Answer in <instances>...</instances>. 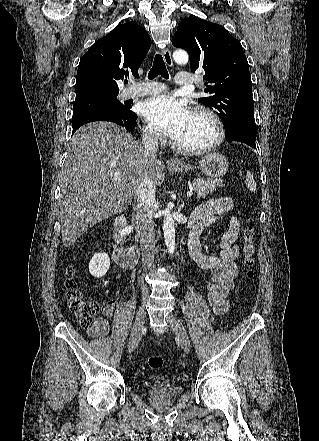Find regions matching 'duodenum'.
Here are the masks:
<instances>
[{"label":"duodenum","mask_w":319,"mask_h":441,"mask_svg":"<svg viewBox=\"0 0 319 441\" xmlns=\"http://www.w3.org/2000/svg\"><path fill=\"white\" fill-rule=\"evenodd\" d=\"M126 227V218L120 215L116 218L114 224V261L124 268H133L136 266L139 258V251L134 247H128L124 244L122 231Z\"/></svg>","instance_id":"1"}]
</instances>
